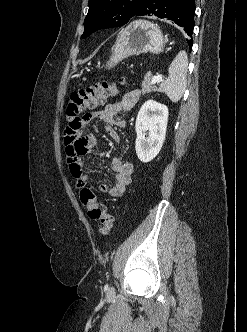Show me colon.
I'll list each match as a JSON object with an SVG mask.
<instances>
[{
	"label": "colon",
	"instance_id": "5ec220e1",
	"mask_svg": "<svg viewBox=\"0 0 247 332\" xmlns=\"http://www.w3.org/2000/svg\"><path fill=\"white\" fill-rule=\"evenodd\" d=\"M117 93V88L109 82L97 83L93 86L74 91L70 94L66 108L67 128L66 135H73L85 125V111L102 105L109 97ZM80 198L90 219L98 221L99 232L108 234L113 227V216L109 214L104 204L99 203L95 193L89 189L81 190Z\"/></svg>",
	"mask_w": 247,
	"mask_h": 332
}]
</instances>
